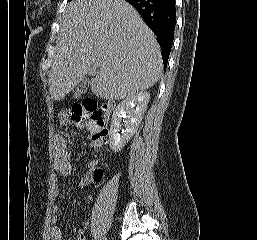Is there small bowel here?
<instances>
[{"label":"small bowel","mask_w":257,"mask_h":240,"mask_svg":"<svg viewBox=\"0 0 257 240\" xmlns=\"http://www.w3.org/2000/svg\"><path fill=\"white\" fill-rule=\"evenodd\" d=\"M54 171L62 177H67L72 173V165L69 159V150H68V141L66 137L58 133L54 136ZM98 165L96 160L89 162L85 175L80 181V188H83L86 185L91 183L99 182L102 179V176L98 177L95 175L94 169ZM55 195L59 194V190L55 188ZM59 207L53 205L51 207V224L52 227L49 233L50 240H62V231L57 226L58 216L57 213ZM75 240H86L84 231L79 229L76 232Z\"/></svg>","instance_id":"small-bowel-1"}]
</instances>
